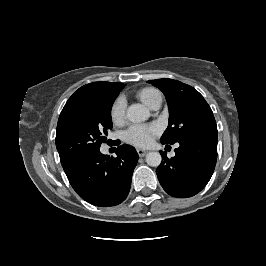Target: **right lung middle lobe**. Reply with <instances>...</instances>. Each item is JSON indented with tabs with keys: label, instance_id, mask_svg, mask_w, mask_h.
<instances>
[{
	"label": "right lung middle lobe",
	"instance_id": "right-lung-middle-lobe-1",
	"mask_svg": "<svg viewBox=\"0 0 266 266\" xmlns=\"http://www.w3.org/2000/svg\"><path fill=\"white\" fill-rule=\"evenodd\" d=\"M120 91L99 93L59 118L56 148L62 162H78L100 149L112 128L111 107Z\"/></svg>",
	"mask_w": 266,
	"mask_h": 266
}]
</instances>
